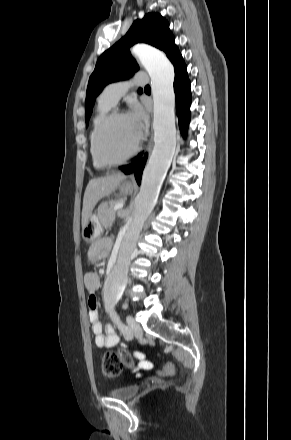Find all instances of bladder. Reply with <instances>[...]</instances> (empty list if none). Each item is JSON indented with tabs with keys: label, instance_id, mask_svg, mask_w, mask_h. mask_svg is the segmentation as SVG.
<instances>
[{
	"label": "bladder",
	"instance_id": "bladder-1",
	"mask_svg": "<svg viewBox=\"0 0 291 440\" xmlns=\"http://www.w3.org/2000/svg\"><path fill=\"white\" fill-rule=\"evenodd\" d=\"M138 392V387L135 385H127L110 390V395L118 400L128 401L132 399Z\"/></svg>",
	"mask_w": 291,
	"mask_h": 440
}]
</instances>
